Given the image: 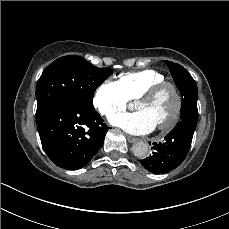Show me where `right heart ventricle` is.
<instances>
[{
	"label": "right heart ventricle",
	"mask_w": 229,
	"mask_h": 229,
	"mask_svg": "<svg viewBox=\"0 0 229 229\" xmlns=\"http://www.w3.org/2000/svg\"><path fill=\"white\" fill-rule=\"evenodd\" d=\"M166 76L154 69L122 73L117 82L129 100L138 99L149 88L166 81Z\"/></svg>",
	"instance_id": "obj_1"
}]
</instances>
